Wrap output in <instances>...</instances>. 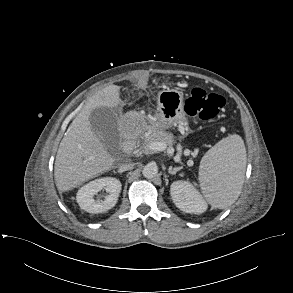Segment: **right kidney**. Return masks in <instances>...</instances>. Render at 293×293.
I'll return each instance as SVG.
<instances>
[{
	"instance_id": "1",
	"label": "right kidney",
	"mask_w": 293,
	"mask_h": 293,
	"mask_svg": "<svg viewBox=\"0 0 293 293\" xmlns=\"http://www.w3.org/2000/svg\"><path fill=\"white\" fill-rule=\"evenodd\" d=\"M121 186V182L116 178L104 177L93 180L79 189L76 197L77 203L86 212L104 213L117 203ZM101 190H106L107 195L103 200H95L94 196Z\"/></svg>"
}]
</instances>
